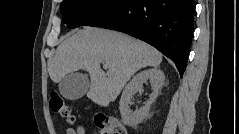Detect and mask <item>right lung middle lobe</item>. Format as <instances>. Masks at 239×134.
I'll return each instance as SVG.
<instances>
[{"mask_svg": "<svg viewBox=\"0 0 239 134\" xmlns=\"http://www.w3.org/2000/svg\"><path fill=\"white\" fill-rule=\"evenodd\" d=\"M116 0H63L60 11L68 28L84 25Z\"/></svg>", "mask_w": 239, "mask_h": 134, "instance_id": "right-lung-middle-lobe-1", "label": "right lung middle lobe"}]
</instances>
